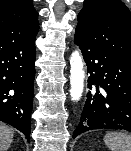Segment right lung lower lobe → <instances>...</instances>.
I'll use <instances>...</instances> for the list:
<instances>
[{
    "mask_svg": "<svg viewBox=\"0 0 131 151\" xmlns=\"http://www.w3.org/2000/svg\"><path fill=\"white\" fill-rule=\"evenodd\" d=\"M36 35L0 41V121L30 141V117L35 78Z\"/></svg>",
    "mask_w": 131,
    "mask_h": 151,
    "instance_id": "obj_1",
    "label": "right lung lower lobe"
}]
</instances>
